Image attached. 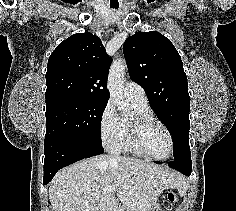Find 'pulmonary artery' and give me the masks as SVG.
<instances>
[{"label":"pulmonary artery","instance_id":"1","mask_svg":"<svg viewBox=\"0 0 236 211\" xmlns=\"http://www.w3.org/2000/svg\"><path fill=\"white\" fill-rule=\"evenodd\" d=\"M124 94L129 100L139 103H147V97L144 89L137 83L129 81L125 84Z\"/></svg>","mask_w":236,"mask_h":211}]
</instances>
